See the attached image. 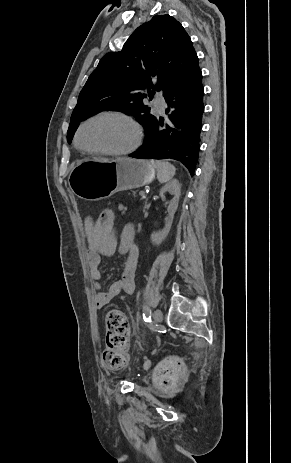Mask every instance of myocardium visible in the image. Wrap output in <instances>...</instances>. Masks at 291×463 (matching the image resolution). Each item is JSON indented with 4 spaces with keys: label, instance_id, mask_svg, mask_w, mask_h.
<instances>
[{
    "label": "myocardium",
    "instance_id": "f54148a6",
    "mask_svg": "<svg viewBox=\"0 0 291 463\" xmlns=\"http://www.w3.org/2000/svg\"><path fill=\"white\" fill-rule=\"evenodd\" d=\"M104 118H118L121 120L126 121L133 129L134 137L131 144L122 149H105V148H85L80 144V134L82 129L92 121ZM143 138V131L138 123V121L131 116L130 114L123 112V111H106L96 113L85 120H83L76 129L75 136H74V144L75 146L86 154H94V155H107V156H124L133 153L141 144Z\"/></svg>",
    "mask_w": 291,
    "mask_h": 463
}]
</instances>
